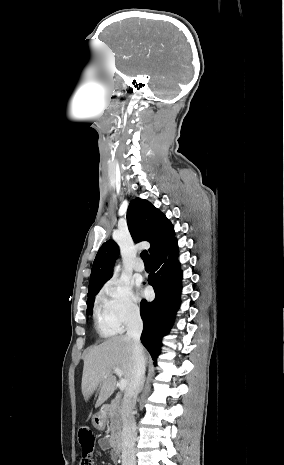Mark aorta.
Returning a JSON list of instances; mask_svg holds the SVG:
<instances>
[{
	"label": "aorta",
	"mask_w": 284,
	"mask_h": 465,
	"mask_svg": "<svg viewBox=\"0 0 284 465\" xmlns=\"http://www.w3.org/2000/svg\"><path fill=\"white\" fill-rule=\"evenodd\" d=\"M119 267H120L119 265H117V266H116V271H118V270H119Z\"/></svg>",
	"instance_id": "1"
}]
</instances>
